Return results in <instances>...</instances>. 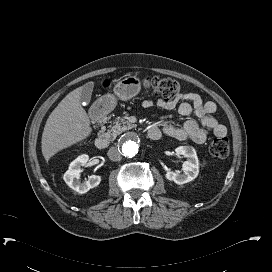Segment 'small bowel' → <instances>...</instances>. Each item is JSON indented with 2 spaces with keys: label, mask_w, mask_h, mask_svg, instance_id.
<instances>
[{
  "label": "small bowel",
  "mask_w": 272,
  "mask_h": 272,
  "mask_svg": "<svg viewBox=\"0 0 272 272\" xmlns=\"http://www.w3.org/2000/svg\"><path fill=\"white\" fill-rule=\"evenodd\" d=\"M155 105L154 101L147 99L143 101L144 108H152ZM156 105L167 110L177 109V113L183 117L194 115L198 118L200 124L191 118H187L181 127L162 122H154L152 125L157 126L161 132L169 137L177 140L190 139L196 143H204L209 134L216 137H223L227 134L225 125L218 122L213 116L216 111L215 103L208 101L204 102L201 96L197 93L185 92L181 93L175 100L166 102L159 99Z\"/></svg>",
  "instance_id": "1"
}]
</instances>
